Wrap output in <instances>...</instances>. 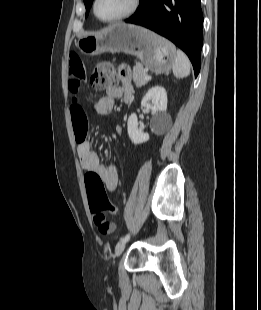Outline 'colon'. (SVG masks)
<instances>
[{"instance_id":"5ec220e1","label":"colon","mask_w":261,"mask_h":310,"mask_svg":"<svg viewBox=\"0 0 261 310\" xmlns=\"http://www.w3.org/2000/svg\"><path fill=\"white\" fill-rule=\"evenodd\" d=\"M91 86L95 90H103L117 84V78L113 66L108 61H100L96 64L90 78ZM90 209L93 220L101 234L108 235L114 232L115 224L106 219L104 212L116 213L118 207L111 203L105 191L101 177L95 172H87L85 175Z\"/></svg>"}]
</instances>
